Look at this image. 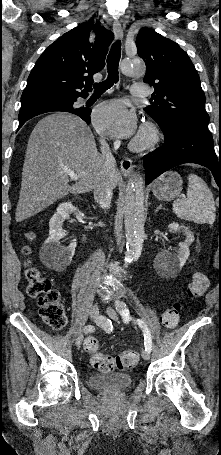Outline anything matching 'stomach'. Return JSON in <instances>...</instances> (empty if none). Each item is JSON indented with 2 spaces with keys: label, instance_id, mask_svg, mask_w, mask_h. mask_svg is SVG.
Instances as JSON below:
<instances>
[{
  "label": "stomach",
  "instance_id": "obj_1",
  "mask_svg": "<svg viewBox=\"0 0 221 455\" xmlns=\"http://www.w3.org/2000/svg\"><path fill=\"white\" fill-rule=\"evenodd\" d=\"M182 178L175 171L162 174L152 185V191L156 198L162 201H171L182 190Z\"/></svg>",
  "mask_w": 221,
  "mask_h": 455
}]
</instances>
